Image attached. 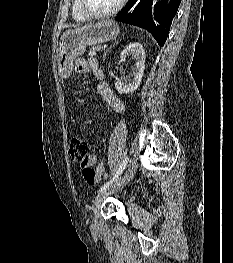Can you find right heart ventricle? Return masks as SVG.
Instances as JSON below:
<instances>
[{
    "label": "right heart ventricle",
    "mask_w": 233,
    "mask_h": 263,
    "mask_svg": "<svg viewBox=\"0 0 233 263\" xmlns=\"http://www.w3.org/2000/svg\"><path fill=\"white\" fill-rule=\"evenodd\" d=\"M72 16L77 21H85L88 19V17L81 11L78 0H73Z\"/></svg>",
    "instance_id": "e07e8e85"
}]
</instances>
